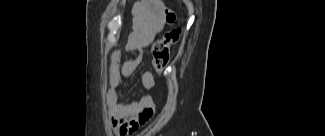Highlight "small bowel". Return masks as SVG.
<instances>
[{
    "instance_id": "obj_1",
    "label": "small bowel",
    "mask_w": 325,
    "mask_h": 136,
    "mask_svg": "<svg viewBox=\"0 0 325 136\" xmlns=\"http://www.w3.org/2000/svg\"><path fill=\"white\" fill-rule=\"evenodd\" d=\"M161 28L162 22H155L148 28L136 48L141 49L148 46L156 38ZM136 65L137 59L122 64V53L120 51H113L109 56V86L106 91V102L110 111L112 129L119 136L136 132L152 118L154 113L151 95H143L130 104H122L119 100L118 87L121 78L131 74ZM141 83L144 89H152L155 84L153 74L150 71H145L142 74Z\"/></svg>"
}]
</instances>
